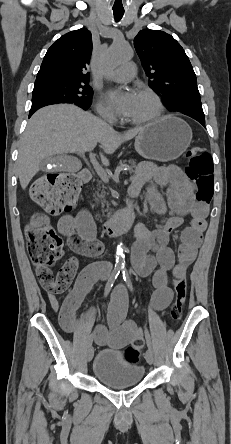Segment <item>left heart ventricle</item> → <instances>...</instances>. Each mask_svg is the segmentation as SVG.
<instances>
[{"label":"left heart ventricle","mask_w":231,"mask_h":444,"mask_svg":"<svg viewBox=\"0 0 231 444\" xmlns=\"http://www.w3.org/2000/svg\"><path fill=\"white\" fill-rule=\"evenodd\" d=\"M156 113V105L153 99L144 94H136L135 102L130 115L131 120H140Z\"/></svg>","instance_id":"left-heart-ventricle-1"}]
</instances>
